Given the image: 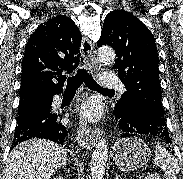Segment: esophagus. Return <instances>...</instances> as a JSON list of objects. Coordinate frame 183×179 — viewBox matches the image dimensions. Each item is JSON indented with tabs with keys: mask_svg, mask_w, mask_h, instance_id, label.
<instances>
[{
	"mask_svg": "<svg viewBox=\"0 0 183 179\" xmlns=\"http://www.w3.org/2000/svg\"><path fill=\"white\" fill-rule=\"evenodd\" d=\"M82 55L89 70H95L100 67L96 50L92 42L86 37L82 39ZM101 133L102 131L100 129L88 126L83 120H79L77 141L80 145L86 148H92Z\"/></svg>",
	"mask_w": 183,
	"mask_h": 179,
	"instance_id": "esophagus-1",
	"label": "esophagus"
}]
</instances>
